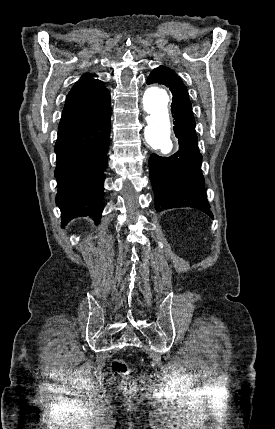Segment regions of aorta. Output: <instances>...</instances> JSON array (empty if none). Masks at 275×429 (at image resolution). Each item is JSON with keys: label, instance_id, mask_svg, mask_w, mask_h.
<instances>
[{"label": "aorta", "instance_id": "1", "mask_svg": "<svg viewBox=\"0 0 275 429\" xmlns=\"http://www.w3.org/2000/svg\"><path fill=\"white\" fill-rule=\"evenodd\" d=\"M143 108L148 114L144 130L145 140L150 147L163 154L173 148V135L169 113L170 97L168 90L158 84L150 85L143 95Z\"/></svg>", "mask_w": 275, "mask_h": 429}]
</instances>
